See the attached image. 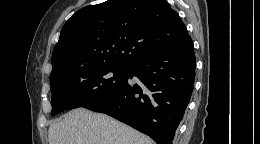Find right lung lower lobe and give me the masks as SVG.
Returning <instances> with one entry per match:
<instances>
[{
  "label": "right lung lower lobe",
  "mask_w": 260,
  "mask_h": 144,
  "mask_svg": "<svg viewBox=\"0 0 260 144\" xmlns=\"http://www.w3.org/2000/svg\"><path fill=\"white\" fill-rule=\"evenodd\" d=\"M195 67L194 46L188 36L131 64L119 90L84 108L108 114L157 144H172L192 95ZM133 76L139 82L128 80Z\"/></svg>",
  "instance_id": "1"
}]
</instances>
